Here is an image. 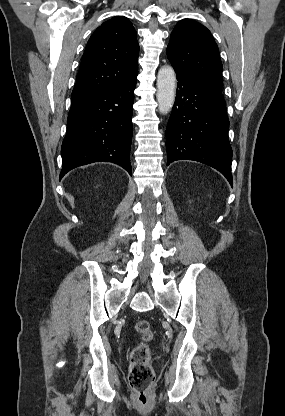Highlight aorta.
I'll return each instance as SVG.
<instances>
[{
  "mask_svg": "<svg viewBox=\"0 0 285 416\" xmlns=\"http://www.w3.org/2000/svg\"><path fill=\"white\" fill-rule=\"evenodd\" d=\"M176 74L172 67H162L157 76V101L160 113L167 114L175 101Z\"/></svg>",
  "mask_w": 285,
  "mask_h": 416,
  "instance_id": "1",
  "label": "aorta"
}]
</instances>
